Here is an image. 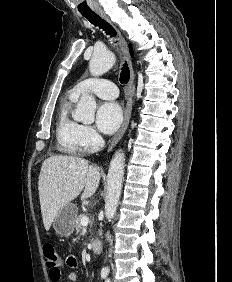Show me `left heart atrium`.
<instances>
[{
    "instance_id": "left-heart-atrium-1",
    "label": "left heart atrium",
    "mask_w": 232,
    "mask_h": 282,
    "mask_svg": "<svg viewBox=\"0 0 232 282\" xmlns=\"http://www.w3.org/2000/svg\"><path fill=\"white\" fill-rule=\"evenodd\" d=\"M122 109L116 102L102 103L96 112V123L100 131L106 134L115 132L122 122Z\"/></svg>"
}]
</instances>
